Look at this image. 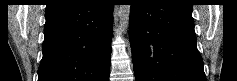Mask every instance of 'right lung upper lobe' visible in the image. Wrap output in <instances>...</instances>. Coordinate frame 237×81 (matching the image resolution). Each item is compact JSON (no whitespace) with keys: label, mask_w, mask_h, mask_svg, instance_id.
Returning <instances> with one entry per match:
<instances>
[{"label":"right lung upper lobe","mask_w":237,"mask_h":81,"mask_svg":"<svg viewBox=\"0 0 237 81\" xmlns=\"http://www.w3.org/2000/svg\"><path fill=\"white\" fill-rule=\"evenodd\" d=\"M74 0H50V3L47 5L46 10H50L62 5H65Z\"/></svg>","instance_id":"obj_1"}]
</instances>
